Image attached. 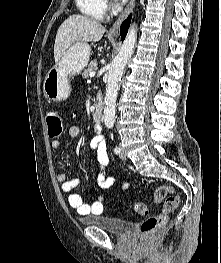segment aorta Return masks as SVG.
Wrapping results in <instances>:
<instances>
[{"mask_svg": "<svg viewBox=\"0 0 221 263\" xmlns=\"http://www.w3.org/2000/svg\"><path fill=\"white\" fill-rule=\"evenodd\" d=\"M136 41L137 30L135 24H133L128 31L118 55L110 65L106 86L105 108L103 112L104 123L108 129H111L114 126L119 81L121 80L127 61L134 52Z\"/></svg>", "mask_w": 221, "mask_h": 263, "instance_id": "obj_1", "label": "aorta"}]
</instances>
